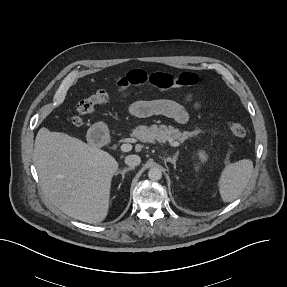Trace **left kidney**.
I'll list each match as a JSON object with an SVG mask.
<instances>
[{"label": "left kidney", "instance_id": "obj_1", "mask_svg": "<svg viewBox=\"0 0 287 287\" xmlns=\"http://www.w3.org/2000/svg\"><path fill=\"white\" fill-rule=\"evenodd\" d=\"M198 155H199V159L201 160V162H205L208 158L204 151H200Z\"/></svg>", "mask_w": 287, "mask_h": 287}]
</instances>
